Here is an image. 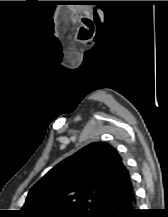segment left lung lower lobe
Returning a JSON list of instances; mask_svg holds the SVG:
<instances>
[{
	"label": "left lung lower lobe",
	"mask_w": 168,
	"mask_h": 217,
	"mask_svg": "<svg viewBox=\"0 0 168 217\" xmlns=\"http://www.w3.org/2000/svg\"><path fill=\"white\" fill-rule=\"evenodd\" d=\"M136 197L132 181L120 191L111 195L103 204L101 211L95 217H138Z\"/></svg>",
	"instance_id": "obj_1"
}]
</instances>
